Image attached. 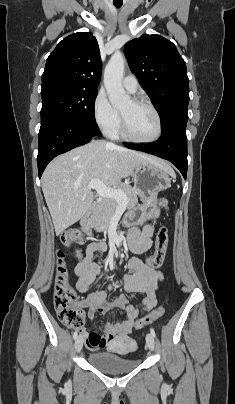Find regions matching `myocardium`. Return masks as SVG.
Listing matches in <instances>:
<instances>
[{"mask_svg":"<svg viewBox=\"0 0 235 404\" xmlns=\"http://www.w3.org/2000/svg\"><path fill=\"white\" fill-rule=\"evenodd\" d=\"M131 101L135 105L147 107L148 109H150L153 112V114L156 117V121H157V131H156L155 136L150 139H138V138L134 137L128 129V125H127L124 115L120 112L121 132H122L123 137L131 142L138 143V144H150V143H154V142L158 141L162 135V130H163L162 119H161V116H160V113L158 112V110L155 108V106L153 104H151L150 102H148L144 99L134 98Z\"/></svg>","mask_w":235,"mask_h":404,"instance_id":"f54148a6","label":"myocardium"}]
</instances>
